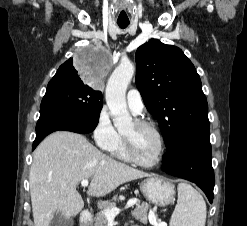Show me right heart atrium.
Returning a JSON list of instances; mask_svg holds the SVG:
<instances>
[{
  "instance_id": "obj_1",
  "label": "right heart atrium",
  "mask_w": 247,
  "mask_h": 226,
  "mask_svg": "<svg viewBox=\"0 0 247 226\" xmlns=\"http://www.w3.org/2000/svg\"><path fill=\"white\" fill-rule=\"evenodd\" d=\"M118 132L114 128L108 109L103 106L98 113L93 130V138L96 145L102 150H109L116 142Z\"/></svg>"
}]
</instances>
